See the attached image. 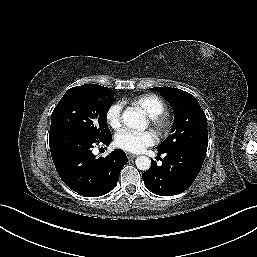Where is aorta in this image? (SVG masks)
<instances>
[{
    "mask_svg": "<svg viewBox=\"0 0 257 257\" xmlns=\"http://www.w3.org/2000/svg\"><path fill=\"white\" fill-rule=\"evenodd\" d=\"M122 121L126 126L138 130H144L147 125L144 115L133 108H128L123 112ZM135 164L139 170L147 171L151 166V160L147 156H139Z\"/></svg>",
    "mask_w": 257,
    "mask_h": 257,
    "instance_id": "762f6f07",
    "label": "aorta"
}]
</instances>
